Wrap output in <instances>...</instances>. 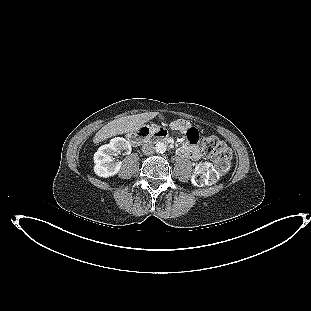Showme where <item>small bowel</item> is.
Wrapping results in <instances>:
<instances>
[{"label":"small bowel","instance_id":"small-bowel-1","mask_svg":"<svg viewBox=\"0 0 311 311\" xmlns=\"http://www.w3.org/2000/svg\"><path fill=\"white\" fill-rule=\"evenodd\" d=\"M171 127L185 134V139L179 148V154L181 156L189 157L193 160L199 159L200 152L197 146V139L192 137V134H196L197 131L190 125L188 121L184 119L174 120L171 123Z\"/></svg>","mask_w":311,"mask_h":311}]
</instances>
